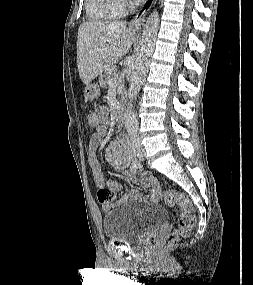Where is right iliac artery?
<instances>
[{"instance_id":"1","label":"right iliac artery","mask_w":253,"mask_h":285,"mask_svg":"<svg viewBox=\"0 0 253 285\" xmlns=\"http://www.w3.org/2000/svg\"><path fill=\"white\" fill-rule=\"evenodd\" d=\"M140 165L138 159L136 158V156L134 155L133 157V161H132V164H131V167H130V172L132 174H134L138 168V166Z\"/></svg>"}]
</instances>
